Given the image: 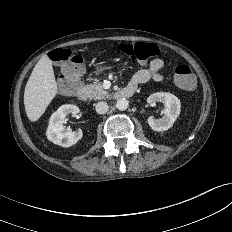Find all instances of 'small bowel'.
<instances>
[{"mask_svg": "<svg viewBox=\"0 0 232 232\" xmlns=\"http://www.w3.org/2000/svg\"><path fill=\"white\" fill-rule=\"evenodd\" d=\"M164 62L160 58L152 60L148 68L141 69L137 71L132 79L130 80L128 86L136 89L140 84H144L150 80L160 82L163 80L162 68Z\"/></svg>", "mask_w": 232, "mask_h": 232, "instance_id": "1", "label": "small bowel"}]
</instances>
